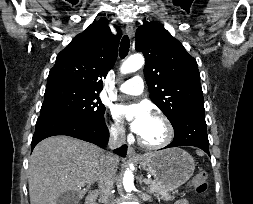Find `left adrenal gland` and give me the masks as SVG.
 I'll list each match as a JSON object with an SVG mask.
<instances>
[{
	"mask_svg": "<svg viewBox=\"0 0 253 204\" xmlns=\"http://www.w3.org/2000/svg\"><path fill=\"white\" fill-rule=\"evenodd\" d=\"M142 179H143V175H141V176H140V179H139V183H140V185H142V182H143V180H142ZM143 189H145V187H143Z\"/></svg>",
	"mask_w": 253,
	"mask_h": 204,
	"instance_id": "obj_1",
	"label": "left adrenal gland"
}]
</instances>
